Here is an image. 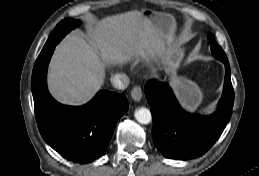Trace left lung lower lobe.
Wrapping results in <instances>:
<instances>
[{
	"label": "left lung lower lobe",
	"mask_w": 259,
	"mask_h": 176,
	"mask_svg": "<svg viewBox=\"0 0 259 176\" xmlns=\"http://www.w3.org/2000/svg\"><path fill=\"white\" fill-rule=\"evenodd\" d=\"M222 62L226 68L223 94L218 110L210 116L185 112L167 83L152 80L146 84L145 95L153 119V141L163 156L179 160L200 157L222 134L234 103L229 62L228 59Z\"/></svg>",
	"instance_id": "left-lung-lower-lobe-1"
}]
</instances>
